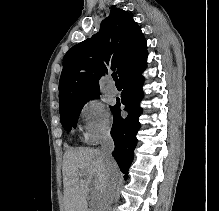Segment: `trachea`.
<instances>
[{
  "label": "trachea",
  "instance_id": "trachea-1",
  "mask_svg": "<svg viewBox=\"0 0 219 211\" xmlns=\"http://www.w3.org/2000/svg\"><path fill=\"white\" fill-rule=\"evenodd\" d=\"M112 78H113V80H114L116 86H121V83H120V81L118 80L117 74H116L115 72L112 73Z\"/></svg>",
  "mask_w": 219,
  "mask_h": 211
}]
</instances>
